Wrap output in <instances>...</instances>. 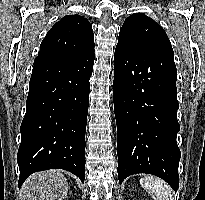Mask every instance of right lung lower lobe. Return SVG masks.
<instances>
[{
	"instance_id": "98d812e1",
	"label": "right lung lower lobe",
	"mask_w": 205,
	"mask_h": 200,
	"mask_svg": "<svg viewBox=\"0 0 205 200\" xmlns=\"http://www.w3.org/2000/svg\"><path fill=\"white\" fill-rule=\"evenodd\" d=\"M94 50L75 58H36L18 150L19 187L34 172L64 169L85 178V132Z\"/></svg>"
}]
</instances>
